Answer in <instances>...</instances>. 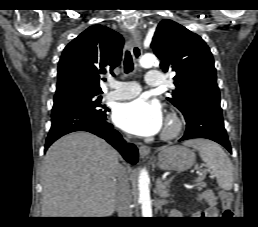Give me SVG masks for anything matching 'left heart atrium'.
<instances>
[{"label":"left heart atrium","mask_w":258,"mask_h":227,"mask_svg":"<svg viewBox=\"0 0 258 227\" xmlns=\"http://www.w3.org/2000/svg\"><path fill=\"white\" fill-rule=\"evenodd\" d=\"M114 121L129 133L151 136L162 128L163 114L157 101L138 98L121 104L115 111Z\"/></svg>","instance_id":"left-heart-atrium-1"}]
</instances>
